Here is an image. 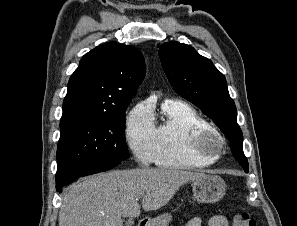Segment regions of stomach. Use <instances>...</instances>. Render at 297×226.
Wrapping results in <instances>:
<instances>
[{"instance_id":"1","label":"stomach","mask_w":297,"mask_h":226,"mask_svg":"<svg viewBox=\"0 0 297 226\" xmlns=\"http://www.w3.org/2000/svg\"><path fill=\"white\" fill-rule=\"evenodd\" d=\"M193 196L199 203L218 202L225 194L226 184L224 180L217 175H205L191 184ZM171 215L168 213L150 218L146 226H168Z\"/></svg>"}]
</instances>
